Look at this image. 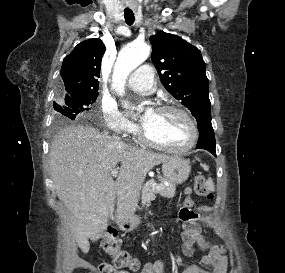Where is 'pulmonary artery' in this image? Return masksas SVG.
Wrapping results in <instances>:
<instances>
[{"instance_id":"1","label":"pulmonary artery","mask_w":285,"mask_h":273,"mask_svg":"<svg viewBox=\"0 0 285 273\" xmlns=\"http://www.w3.org/2000/svg\"><path fill=\"white\" fill-rule=\"evenodd\" d=\"M128 85L140 92H149L154 89V72L150 65L138 67L129 77Z\"/></svg>"}]
</instances>
